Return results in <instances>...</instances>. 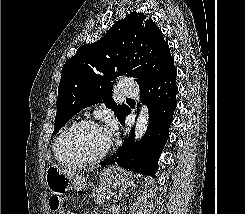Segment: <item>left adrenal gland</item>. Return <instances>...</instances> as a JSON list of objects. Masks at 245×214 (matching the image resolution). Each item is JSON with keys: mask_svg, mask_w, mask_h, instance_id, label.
Returning a JSON list of instances; mask_svg holds the SVG:
<instances>
[{"mask_svg": "<svg viewBox=\"0 0 245 214\" xmlns=\"http://www.w3.org/2000/svg\"><path fill=\"white\" fill-rule=\"evenodd\" d=\"M132 185H133V182L127 183L126 185L121 187L118 195L116 196V200L114 202L116 203L119 200V198L122 197V195L126 194L128 192V188L131 187Z\"/></svg>", "mask_w": 245, "mask_h": 214, "instance_id": "left-adrenal-gland-1", "label": "left adrenal gland"}]
</instances>
